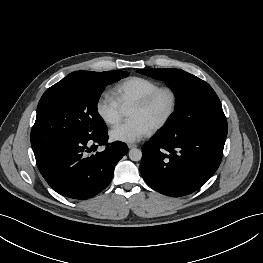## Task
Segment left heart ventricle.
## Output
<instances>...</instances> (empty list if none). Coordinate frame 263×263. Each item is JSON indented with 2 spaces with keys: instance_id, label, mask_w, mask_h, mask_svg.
Returning a JSON list of instances; mask_svg holds the SVG:
<instances>
[{
  "instance_id": "left-heart-ventricle-1",
  "label": "left heart ventricle",
  "mask_w": 263,
  "mask_h": 263,
  "mask_svg": "<svg viewBox=\"0 0 263 263\" xmlns=\"http://www.w3.org/2000/svg\"><path fill=\"white\" fill-rule=\"evenodd\" d=\"M170 108V97L168 94L163 93L146 109L131 108L129 117L139 118L146 122L149 126L153 127Z\"/></svg>"
}]
</instances>
